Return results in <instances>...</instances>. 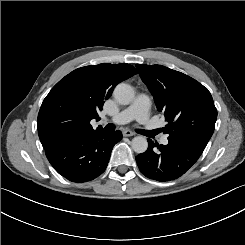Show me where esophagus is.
I'll return each instance as SVG.
<instances>
[{"instance_id": "esophagus-1", "label": "esophagus", "mask_w": 245, "mask_h": 245, "mask_svg": "<svg viewBox=\"0 0 245 245\" xmlns=\"http://www.w3.org/2000/svg\"><path fill=\"white\" fill-rule=\"evenodd\" d=\"M122 134H123L124 137H129V136H134L135 135V133L132 132L131 130H124Z\"/></svg>"}]
</instances>
